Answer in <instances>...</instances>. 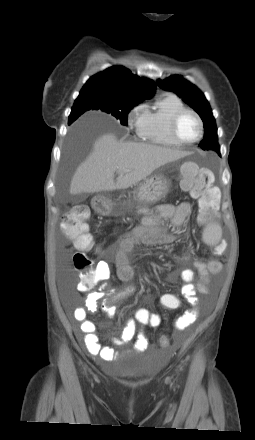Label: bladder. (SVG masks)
Instances as JSON below:
<instances>
[{"mask_svg":"<svg viewBox=\"0 0 255 440\" xmlns=\"http://www.w3.org/2000/svg\"><path fill=\"white\" fill-rule=\"evenodd\" d=\"M118 363L119 367L115 371V375L124 380L142 381L151 378L154 373L151 360L137 355L129 356Z\"/></svg>","mask_w":255,"mask_h":440,"instance_id":"31cf9c89","label":"bladder"}]
</instances>
